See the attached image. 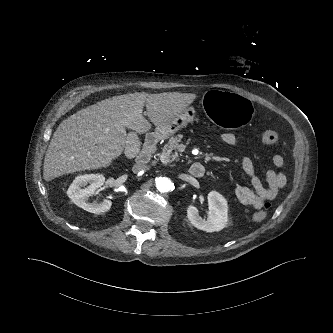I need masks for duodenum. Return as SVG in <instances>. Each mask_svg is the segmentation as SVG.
<instances>
[{
  "instance_id": "duodenum-1",
  "label": "duodenum",
  "mask_w": 333,
  "mask_h": 333,
  "mask_svg": "<svg viewBox=\"0 0 333 333\" xmlns=\"http://www.w3.org/2000/svg\"><path fill=\"white\" fill-rule=\"evenodd\" d=\"M158 136L155 133L149 134L143 144L142 150L136 156V165L144 166L148 164L154 155ZM190 174L195 178H201L204 176L205 167L202 163L196 162L190 166Z\"/></svg>"
}]
</instances>
